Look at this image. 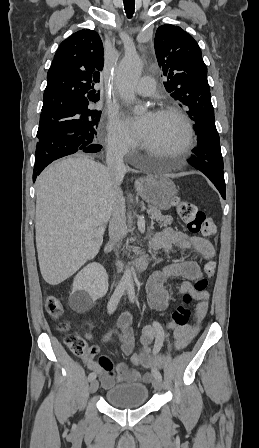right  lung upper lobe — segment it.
Segmentation results:
<instances>
[{
    "mask_svg": "<svg viewBox=\"0 0 259 448\" xmlns=\"http://www.w3.org/2000/svg\"><path fill=\"white\" fill-rule=\"evenodd\" d=\"M104 50L99 34L83 29L64 40L47 73L42 113L87 107L100 99Z\"/></svg>",
    "mask_w": 259,
    "mask_h": 448,
    "instance_id": "cb5924a9",
    "label": "right lung upper lobe"
}]
</instances>
